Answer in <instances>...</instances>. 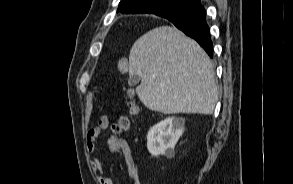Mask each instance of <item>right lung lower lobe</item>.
<instances>
[{
  "label": "right lung lower lobe",
  "instance_id": "right-lung-lower-lobe-1",
  "mask_svg": "<svg viewBox=\"0 0 293 184\" xmlns=\"http://www.w3.org/2000/svg\"><path fill=\"white\" fill-rule=\"evenodd\" d=\"M163 18L171 21L186 35L195 39L201 47L213 57V44L210 38V30L206 23V12L200 4H193L177 9L171 15Z\"/></svg>",
  "mask_w": 293,
  "mask_h": 184
}]
</instances>
